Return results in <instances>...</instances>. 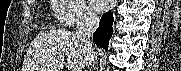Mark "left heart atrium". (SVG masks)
I'll return each mask as SVG.
<instances>
[{"label":"left heart atrium","mask_w":181,"mask_h":71,"mask_svg":"<svg viewBox=\"0 0 181 71\" xmlns=\"http://www.w3.org/2000/svg\"><path fill=\"white\" fill-rule=\"evenodd\" d=\"M95 3H96L97 9L104 10L107 8L109 0H98Z\"/></svg>","instance_id":"obj_1"}]
</instances>
